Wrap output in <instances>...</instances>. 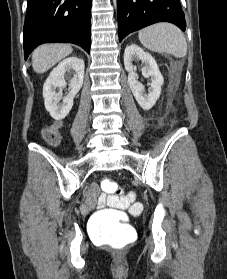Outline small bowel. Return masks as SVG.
I'll return each instance as SVG.
<instances>
[{"instance_id": "c3829d8e", "label": "small bowel", "mask_w": 227, "mask_h": 279, "mask_svg": "<svg viewBox=\"0 0 227 279\" xmlns=\"http://www.w3.org/2000/svg\"><path fill=\"white\" fill-rule=\"evenodd\" d=\"M103 206L128 210L131 213H137L141 209V204L139 202H133L131 198L105 196L101 193L98 185H90L86 194L85 203L81 207L82 212L88 213L96 207Z\"/></svg>"}]
</instances>
